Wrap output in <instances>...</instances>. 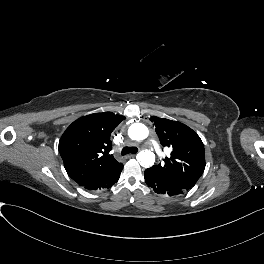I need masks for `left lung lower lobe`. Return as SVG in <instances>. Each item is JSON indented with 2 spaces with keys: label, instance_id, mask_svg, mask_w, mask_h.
<instances>
[{
  "label": "left lung lower lobe",
  "instance_id": "1",
  "mask_svg": "<svg viewBox=\"0 0 264 264\" xmlns=\"http://www.w3.org/2000/svg\"><path fill=\"white\" fill-rule=\"evenodd\" d=\"M145 181L153 192L166 197H174L183 194L180 190L166 184L155 176L145 172Z\"/></svg>",
  "mask_w": 264,
  "mask_h": 264
}]
</instances>
